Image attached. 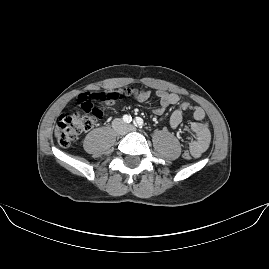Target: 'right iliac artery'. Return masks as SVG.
I'll list each match as a JSON object with an SVG mask.
<instances>
[{
	"label": "right iliac artery",
	"mask_w": 269,
	"mask_h": 269,
	"mask_svg": "<svg viewBox=\"0 0 269 269\" xmlns=\"http://www.w3.org/2000/svg\"><path fill=\"white\" fill-rule=\"evenodd\" d=\"M123 120L125 123H130L132 121V117L130 115H124Z\"/></svg>",
	"instance_id": "obj_1"
}]
</instances>
